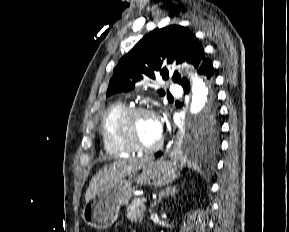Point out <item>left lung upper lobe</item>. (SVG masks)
I'll return each instance as SVG.
<instances>
[{
    "instance_id": "1",
    "label": "left lung upper lobe",
    "mask_w": 289,
    "mask_h": 232,
    "mask_svg": "<svg viewBox=\"0 0 289 232\" xmlns=\"http://www.w3.org/2000/svg\"><path fill=\"white\" fill-rule=\"evenodd\" d=\"M204 51L195 35L187 28L170 25L156 29L145 35L134 48L123 56L113 71L106 96L118 92H127L135 87V83L146 75L150 79L162 76L168 79L169 71L163 67V61L172 63L188 62L198 68ZM173 81L181 85L188 80L181 78L174 72ZM160 95H165L159 90ZM219 125L214 112L199 122L189 133L187 138L191 147L198 148L205 152H213L217 148Z\"/></svg>"
}]
</instances>
